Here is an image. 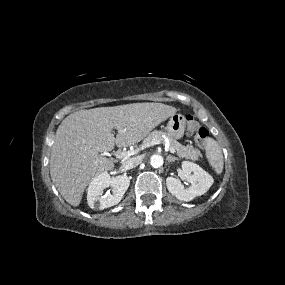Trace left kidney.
<instances>
[{"label": "left kidney", "mask_w": 285, "mask_h": 285, "mask_svg": "<svg viewBox=\"0 0 285 285\" xmlns=\"http://www.w3.org/2000/svg\"><path fill=\"white\" fill-rule=\"evenodd\" d=\"M182 176L185 181L191 183L188 188H185L178 178L168 177L166 179L168 191L181 201L188 202L203 195L213 184L211 175L192 162H182Z\"/></svg>", "instance_id": "1"}]
</instances>
